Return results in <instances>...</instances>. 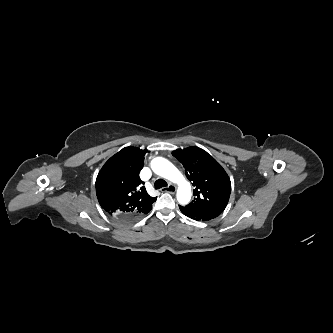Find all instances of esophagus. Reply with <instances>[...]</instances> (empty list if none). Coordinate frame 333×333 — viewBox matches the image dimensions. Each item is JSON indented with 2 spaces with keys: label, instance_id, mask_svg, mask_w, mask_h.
Wrapping results in <instances>:
<instances>
[{
  "label": "esophagus",
  "instance_id": "esophagus-1",
  "mask_svg": "<svg viewBox=\"0 0 333 333\" xmlns=\"http://www.w3.org/2000/svg\"><path fill=\"white\" fill-rule=\"evenodd\" d=\"M164 190H165L166 192H169V193H175V191H176V186L170 184L168 187L164 188Z\"/></svg>",
  "mask_w": 333,
  "mask_h": 333
}]
</instances>
